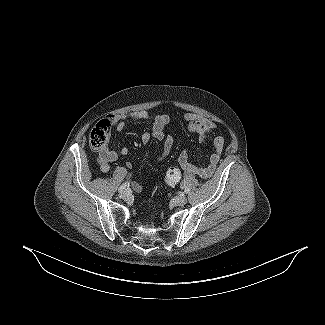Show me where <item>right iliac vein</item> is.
<instances>
[{"instance_id": "63e3f726", "label": "right iliac vein", "mask_w": 325, "mask_h": 325, "mask_svg": "<svg viewBox=\"0 0 325 325\" xmlns=\"http://www.w3.org/2000/svg\"><path fill=\"white\" fill-rule=\"evenodd\" d=\"M131 197L130 193L128 191H123L120 193V198L123 200H128Z\"/></svg>"}]
</instances>
